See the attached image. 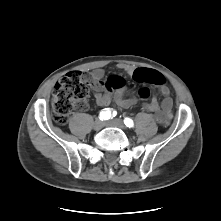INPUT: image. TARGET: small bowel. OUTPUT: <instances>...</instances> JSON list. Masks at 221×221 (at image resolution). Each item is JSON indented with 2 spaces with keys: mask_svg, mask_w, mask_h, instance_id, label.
Segmentation results:
<instances>
[{
  "mask_svg": "<svg viewBox=\"0 0 221 221\" xmlns=\"http://www.w3.org/2000/svg\"><path fill=\"white\" fill-rule=\"evenodd\" d=\"M119 68L124 70L132 77L137 69H143L134 68L132 66L123 64L119 65ZM104 75L105 73L102 69H95L88 76V81L96 90L95 100L99 106H107L112 100H114L116 104L122 108L130 107L136 103L137 98H129L125 96V81L122 77L111 76L107 81H104ZM112 88L115 89L114 96H112L110 93L100 92L102 89L111 91ZM159 93L163 97L161 103H159L156 98H153L144 104V108L154 114V118L158 123L167 124L172 118L173 100L170 96V92L167 86H160Z\"/></svg>",
  "mask_w": 221,
  "mask_h": 221,
  "instance_id": "obj_1",
  "label": "small bowel"
}]
</instances>
